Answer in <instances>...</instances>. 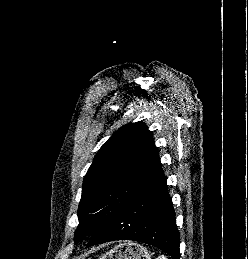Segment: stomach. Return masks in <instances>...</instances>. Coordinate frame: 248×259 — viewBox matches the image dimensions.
<instances>
[{
    "label": "stomach",
    "instance_id": "0dacf381",
    "mask_svg": "<svg viewBox=\"0 0 248 259\" xmlns=\"http://www.w3.org/2000/svg\"><path fill=\"white\" fill-rule=\"evenodd\" d=\"M99 259H151V254L140 244L125 242L115 246Z\"/></svg>",
    "mask_w": 248,
    "mask_h": 259
}]
</instances>
